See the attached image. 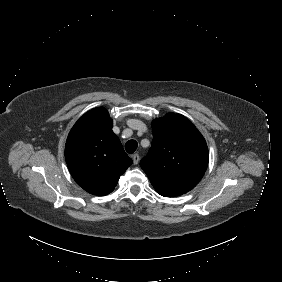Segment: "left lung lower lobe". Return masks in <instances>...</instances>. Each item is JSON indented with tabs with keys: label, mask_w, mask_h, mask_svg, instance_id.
Here are the masks:
<instances>
[{
	"label": "left lung lower lobe",
	"mask_w": 282,
	"mask_h": 282,
	"mask_svg": "<svg viewBox=\"0 0 282 282\" xmlns=\"http://www.w3.org/2000/svg\"><path fill=\"white\" fill-rule=\"evenodd\" d=\"M156 191L160 195L165 196V197H175V196L184 194L178 190H170V189H160V190L156 189Z\"/></svg>",
	"instance_id": "obj_1"
}]
</instances>
